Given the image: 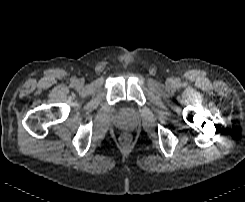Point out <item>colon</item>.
I'll use <instances>...</instances> for the list:
<instances>
[{"label": "colon", "mask_w": 245, "mask_h": 202, "mask_svg": "<svg viewBox=\"0 0 245 202\" xmlns=\"http://www.w3.org/2000/svg\"><path fill=\"white\" fill-rule=\"evenodd\" d=\"M130 139V136L128 134H125L124 135V140H129Z\"/></svg>", "instance_id": "5ec220e1"}]
</instances>
